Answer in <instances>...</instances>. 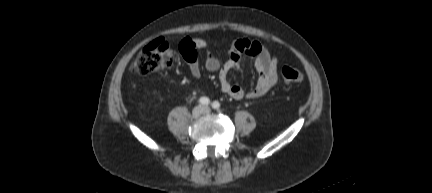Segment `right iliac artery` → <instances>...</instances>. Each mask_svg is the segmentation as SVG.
Masks as SVG:
<instances>
[{
  "label": "right iliac artery",
  "mask_w": 432,
  "mask_h": 193,
  "mask_svg": "<svg viewBox=\"0 0 432 193\" xmlns=\"http://www.w3.org/2000/svg\"><path fill=\"white\" fill-rule=\"evenodd\" d=\"M199 103L203 106H208L210 104V100L207 97H201L199 99Z\"/></svg>",
  "instance_id": "1"
}]
</instances>
